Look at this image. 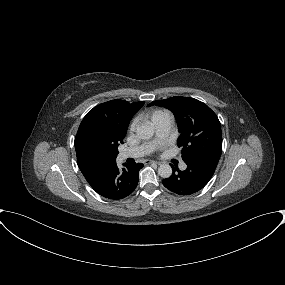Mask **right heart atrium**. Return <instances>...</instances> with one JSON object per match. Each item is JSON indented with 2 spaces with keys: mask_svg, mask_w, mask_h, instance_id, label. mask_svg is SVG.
Instances as JSON below:
<instances>
[{
  "mask_svg": "<svg viewBox=\"0 0 285 285\" xmlns=\"http://www.w3.org/2000/svg\"><path fill=\"white\" fill-rule=\"evenodd\" d=\"M135 127H136V120L133 119L129 124V131H131V132L134 131Z\"/></svg>",
  "mask_w": 285,
  "mask_h": 285,
  "instance_id": "1",
  "label": "right heart atrium"
}]
</instances>
